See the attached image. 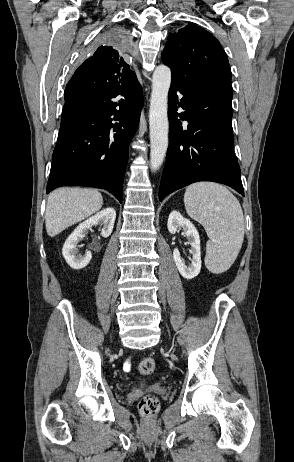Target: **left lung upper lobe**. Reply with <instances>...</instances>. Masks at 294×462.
I'll return each mask as SVG.
<instances>
[{
  "mask_svg": "<svg viewBox=\"0 0 294 462\" xmlns=\"http://www.w3.org/2000/svg\"><path fill=\"white\" fill-rule=\"evenodd\" d=\"M162 61L171 68L172 80L184 85H230L231 69L219 41L194 23L170 34Z\"/></svg>",
  "mask_w": 294,
  "mask_h": 462,
  "instance_id": "left-lung-upper-lobe-1",
  "label": "left lung upper lobe"
}]
</instances>
